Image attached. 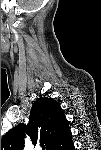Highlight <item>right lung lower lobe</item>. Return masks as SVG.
<instances>
[{"mask_svg":"<svg viewBox=\"0 0 101 150\" xmlns=\"http://www.w3.org/2000/svg\"><path fill=\"white\" fill-rule=\"evenodd\" d=\"M74 149V145L71 142L69 145H67V147L65 148V150H73Z\"/></svg>","mask_w":101,"mask_h":150,"instance_id":"98d812e1","label":"right lung lower lobe"}]
</instances>
